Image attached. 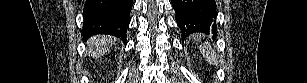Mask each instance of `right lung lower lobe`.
Returning a JSON list of instances; mask_svg holds the SVG:
<instances>
[{"mask_svg":"<svg viewBox=\"0 0 307 83\" xmlns=\"http://www.w3.org/2000/svg\"><path fill=\"white\" fill-rule=\"evenodd\" d=\"M133 0H86L83 38L109 34L126 40Z\"/></svg>","mask_w":307,"mask_h":83,"instance_id":"right-lung-lower-lobe-1","label":"right lung lower lobe"}]
</instances>
